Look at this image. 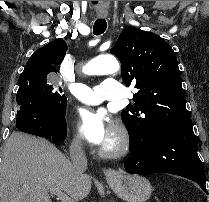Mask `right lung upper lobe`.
<instances>
[{
    "label": "right lung upper lobe",
    "mask_w": 209,
    "mask_h": 202,
    "mask_svg": "<svg viewBox=\"0 0 209 202\" xmlns=\"http://www.w3.org/2000/svg\"><path fill=\"white\" fill-rule=\"evenodd\" d=\"M66 51L67 45L62 38L46 44L29 58L21 75L59 72L55 65L61 64Z\"/></svg>",
    "instance_id": "cb5924a9"
}]
</instances>
